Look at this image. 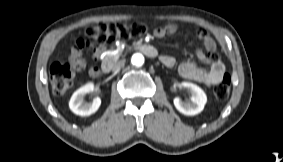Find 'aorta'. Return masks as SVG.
Masks as SVG:
<instances>
[{
    "instance_id": "762f6f07",
    "label": "aorta",
    "mask_w": 283,
    "mask_h": 162,
    "mask_svg": "<svg viewBox=\"0 0 283 162\" xmlns=\"http://www.w3.org/2000/svg\"><path fill=\"white\" fill-rule=\"evenodd\" d=\"M132 65L140 67L144 64V56L140 53H135L131 58Z\"/></svg>"
}]
</instances>
